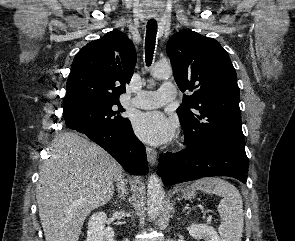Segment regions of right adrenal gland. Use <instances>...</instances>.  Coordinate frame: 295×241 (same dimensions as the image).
Listing matches in <instances>:
<instances>
[{"label": "right adrenal gland", "mask_w": 295, "mask_h": 241, "mask_svg": "<svg viewBox=\"0 0 295 241\" xmlns=\"http://www.w3.org/2000/svg\"><path fill=\"white\" fill-rule=\"evenodd\" d=\"M117 202H118V201L116 200V201H115V204H117Z\"/></svg>", "instance_id": "obj_1"}]
</instances>
